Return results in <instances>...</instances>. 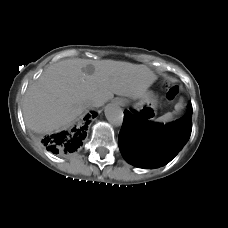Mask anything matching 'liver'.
<instances>
[{
    "instance_id": "1",
    "label": "liver",
    "mask_w": 228,
    "mask_h": 228,
    "mask_svg": "<svg viewBox=\"0 0 228 228\" xmlns=\"http://www.w3.org/2000/svg\"><path fill=\"white\" fill-rule=\"evenodd\" d=\"M84 59H67L49 66L30 85L23 101L25 124L38 133L51 132L68 126L84 110L100 107L118 96L133 100L145 96L157 76L146 65L122 61H93L94 72L83 69ZM92 101L91 107L85 103Z\"/></svg>"
}]
</instances>
